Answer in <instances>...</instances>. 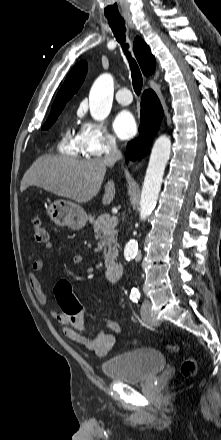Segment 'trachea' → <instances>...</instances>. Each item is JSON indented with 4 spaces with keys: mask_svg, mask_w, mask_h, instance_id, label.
I'll list each match as a JSON object with an SVG mask.
<instances>
[{
    "mask_svg": "<svg viewBox=\"0 0 221 440\" xmlns=\"http://www.w3.org/2000/svg\"><path fill=\"white\" fill-rule=\"evenodd\" d=\"M107 19L114 33V36L116 37L117 41L121 44L122 49L129 60L130 69L132 72L133 88L135 93L139 95L141 93L143 79L140 70L138 68V65L136 64L135 60L130 57V54L128 52L129 45L125 43V31H126L125 21L123 18H115V17H108Z\"/></svg>",
    "mask_w": 221,
    "mask_h": 440,
    "instance_id": "obj_1",
    "label": "trachea"
}]
</instances>
